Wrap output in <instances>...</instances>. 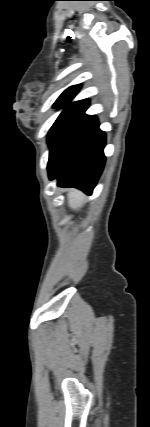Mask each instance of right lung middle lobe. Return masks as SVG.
<instances>
[{"mask_svg":"<svg viewBox=\"0 0 150 427\" xmlns=\"http://www.w3.org/2000/svg\"><path fill=\"white\" fill-rule=\"evenodd\" d=\"M79 110L65 109L57 118L48 134L50 152L70 123L80 114Z\"/></svg>","mask_w":150,"mask_h":427,"instance_id":"obj_1","label":"right lung middle lobe"}]
</instances>
